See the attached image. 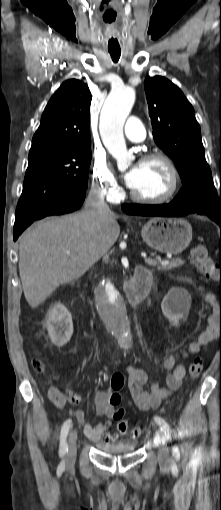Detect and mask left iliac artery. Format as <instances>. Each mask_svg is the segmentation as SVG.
<instances>
[{
  "label": "left iliac artery",
  "mask_w": 221,
  "mask_h": 510,
  "mask_svg": "<svg viewBox=\"0 0 221 510\" xmlns=\"http://www.w3.org/2000/svg\"><path fill=\"white\" fill-rule=\"evenodd\" d=\"M154 420L157 423V425L160 427V429L163 431L165 438L168 440L171 436V428H170L169 424L163 418H161L159 416H155ZM173 450H174V452L179 451L177 446H174Z\"/></svg>",
  "instance_id": "obj_1"
}]
</instances>
